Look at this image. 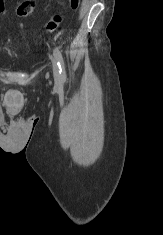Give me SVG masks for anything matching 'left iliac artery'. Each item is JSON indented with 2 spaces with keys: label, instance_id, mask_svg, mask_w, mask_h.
Segmentation results:
<instances>
[{
  "label": "left iliac artery",
  "instance_id": "44dca946",
  "mask_svg": "<svg viewBox=\"0 0 163 235\" xmlns=\"http://www.w3.org/2000/svg\"><path fill=\"white\" fill-rule=\"evenodd\" d=\"M54 56L57 60V64L59 67L60 78L62 81H65L66 80L65 63H64L62 53L57 47L54 49Z\"/></svg>",
  "mask_w": 163,
  "mask_h": 235
}]
</instances>
